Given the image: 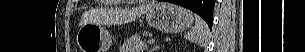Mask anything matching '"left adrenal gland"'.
Masks as SVG:
<instances>
[{"label": "left adrenal gland", "mask_w": 305, "mask_h": 52, "mask_svg": "<svg viewBox=\"0 0 305 52\" xmlns=\"http://www.w3.org/2000/svg\"><path fill=\"white\" fill-rule=\"evenodd\" d=\"M158 49H159V45H156L151 49V52H156Z\"/></svg>", "instance_id": "1"}]
</instances>
